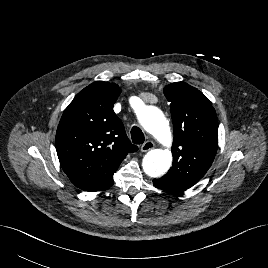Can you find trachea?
<instances>
[{
    "instance_id": "3493384b",
    "label": "trachea",
    "mask_w": 268,
    "mask_h": 268,
    "mask_svg": "<svg viewBox=\"0 0 268 268\" xmlns=\"http://www.w3.org/2000/svg\"><path fill=\"white\" fill-rule=\"evenodd\" d=\"M130 133L132 142L134 144H142L144 142L145 137L142 130L139 127L133 126Z\"/></svg>"
}]
</instances>
